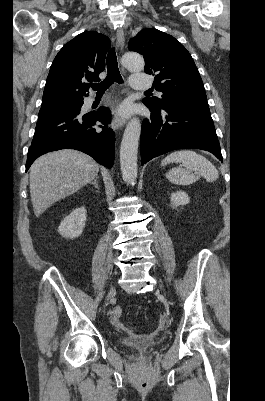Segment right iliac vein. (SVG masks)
I'll use <instances>...</instances> for the list:
<instances>
[{"instance_id":"obj_1","label":"right iliac vein","mask_w":265,"mask_h":401,"mask_svg":"<svg viewBox=\"0 0 265 401\" xmlns=\"http://www.w3.org/2000/svg\"><path fill=\"white\" fill-rule=\"evenodd\" d=\"M114 292H115V287L112 286L111 289H110V292H109V294H108V296H107V301L110 300V298H111V296H112V294H113Z\"/></svg>"}]
</instances>
